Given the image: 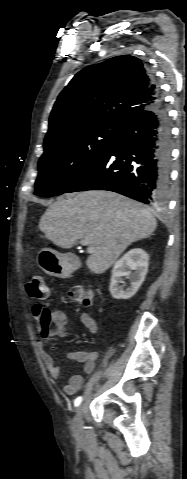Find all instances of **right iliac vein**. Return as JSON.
Segmentation results:
<instances>
[{"instance_id":"1","label":"right iliac vein","mask_w":187,"mask_h":479,"mask_svg":"<svg viewBox=\"0 0 187 479\" xmlns=\"http://www.w3.org/2000/svg\"><path fill=\"white\" fill-rule=\"evenodd\" d=\"M85 407L83 404L79 405L76 409L75 416L72 420V429L75 433L79 434L82 429L83 425V415H84Z\"/></svg>"}]
</instances>
